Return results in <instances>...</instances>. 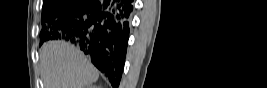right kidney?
I'll return each instance as SVG.
<instances>
[{"label":"right kidney","instance_id":"1","mask_svg":"<svg viewBox=\"0 0 267 88\" xmlns=\"http://www.w3.org/2000/svg\"><path fill=\"white\" fill-rule=\"evenodd\" d=\"M87 88H98V87L93 85V86H88Z\"/></svg>","mask_w":267,"mask_h":88}]
</instances>
